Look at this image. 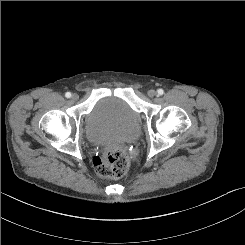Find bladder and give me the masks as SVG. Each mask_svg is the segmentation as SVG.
Masks as SVG:
<instances>
[{"instance_id": "bladder-1", "label": "bladder", "mask_w": 245, "mask_h": 245, "mask_svg": "<svg viewBox=\"0 0 245 245\" xmlns=\"http://www.w3.org/2000/svg\"><path fill=\"white\" fill-rule=\"evenodd\" d=\"M84 129L93 142L126 143L138 136L139 117L123 99L107 96L93 105L86 116Z\"/></svg>"}]
</instances>
